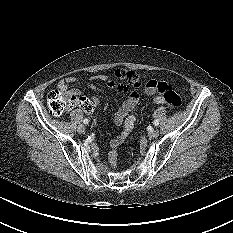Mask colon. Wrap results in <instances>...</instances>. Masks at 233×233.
Here are the masks:
<instances>
[{"mask_svg": "<svg viewBox=\"0 0 233 233\" xmlns=\"http://www.w3.org/2000/svg\"><path fill=\"white\" fill-rule=\"evenodd\" d=\"M117 79L126 85L138 87L142 84L144 75L136 71L128 70H117L115 73ZM145 85H151L158 89L162 94L161 99L164 104L169 105L173 108H180L182 105L181 97L172 90L171 86L165 82H157L155 80H148ZM76 104V99L72 96L60 90H53L48 94L47 106L50 112L54 115H61ZM133 119H129V124L132 123ZM110 162L113 166H116L117 155L115 152L110 155Z\"/></svg>", "mask_w": 233, "mask_h": 233, "instance_id": "1", "label": "colon"}]
</instances>
